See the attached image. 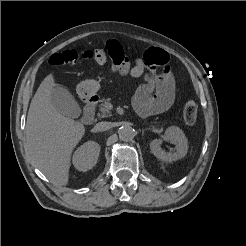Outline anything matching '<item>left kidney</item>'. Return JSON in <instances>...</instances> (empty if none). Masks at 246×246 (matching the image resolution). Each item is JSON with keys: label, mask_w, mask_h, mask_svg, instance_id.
Here are the masks:
<instances>
[{"label": "left kidney", "mask_w": 246, "mask_h": 246, "mask_svg": "<svg viewBox=\"0 0 246 246\" xmlns=\"http://www.w3.org/2000/svg\"><path fill=\"white\" fill-rule=\"evenodd\" d=\"M163 140L174 144L176 151L173 153L163 151L160 146ZM150 150L161 161L172 162L185 157L188 151V141L179 127L171 126L166 129L163 139H154L150 142Z\"/></svg>", "instance_id": "obj_1"}]
</instances>
